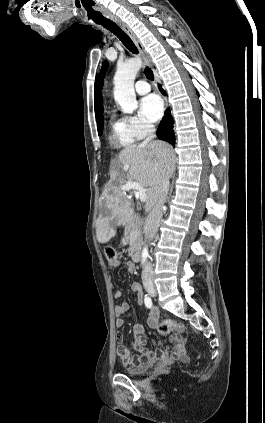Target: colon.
Returning <instances> with one entry per match:
<instances>
[{
  "label": "colon",
  "mask_w": 265,
  "mask_h": 423,
  "mask_svg": "<svg viewBox=\"0 0 265 423\" xmlns=\"http://www.w3.org/2000/svg\"><path fill=\"white\" fill-rule=\"evenodd\" d=\"M104 253L109 262L115 261L118 257L117 250L111 246L106 247L104 250ZM184 330H185V326L183 324L177 323L170 319L164 320L158 325V331L162 335H166L172 331H184Z\"/></svg>",
  "instance_id": "5ec220e1"
}]
</instances>
